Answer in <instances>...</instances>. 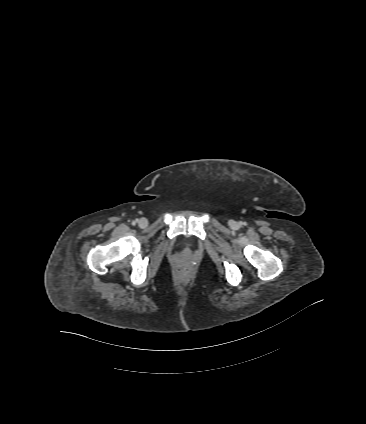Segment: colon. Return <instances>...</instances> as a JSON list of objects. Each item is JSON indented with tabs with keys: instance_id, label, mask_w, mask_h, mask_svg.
<instances>
[{
	"instance_id": "5ec220e1",
	"label": "colon",
	"mask_w": 366,
	"mask_h": 424,
	"mask_svg": "<svg viewBox=\"0 0 366 424\" xmlns=\"http://www.w3.org/2000/svg\"><path fill=\"white\" fill-rule=\"evenodd\" d=\"M184 272H185V271H184L183 269L178 270V273H179V274H181V275H183V274H184Z\"/></svg>"
}]
</instances>
